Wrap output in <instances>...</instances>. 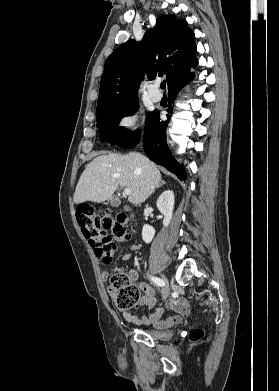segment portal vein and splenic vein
I'll list each match as a JSON object with an SVG mask.
<instances>
[{"instance_id":"18ae733b","label":"portal vein and splenic vein","mask_w":279,"mask_h":391,"mask_svg":"<svg viewBox=\"0 0 279 391\" xmlns=\"http://www.w3.org/2000/svg\"><path fill=\"white\" fill-rule=\"evenodd\" d=\"M123 193H124L125 195H130V194H131V190H130L129 188H125V189L123 190Z\"/></svg>"}]
</instances>
